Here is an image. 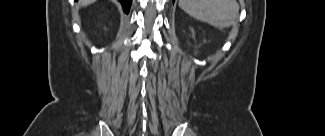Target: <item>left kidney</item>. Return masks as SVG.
I'll return each instance as SVG.
<instances>
[{"mask_svg":"<svg viewBox=\"0 0 325 136\" xmlns=\"http://www.w3.org/2000/svg\"><path fill=\"white\" fill-rule=\"evenodd\" d=\"M191 31H192V34L194 35V30H193V29H191Z\"/></svg>","mask_w":325,"mask_h":136,"instance_id":"left-kidney-1","label":"left kidney"}]
</instances>
